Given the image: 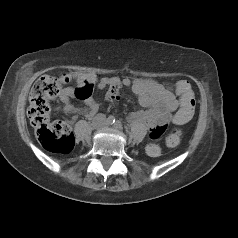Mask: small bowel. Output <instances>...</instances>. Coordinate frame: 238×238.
I'll return each mask as SVG.
<instances>
[{"instance_id": "c3829d8e", "label": "small bowel", "mask_w": 238, "mask_h": 238, "mask_svg": "<svg viewBox=\"0 0 238 238\" xmlns=\"http://www.w3.org/2000/svg\"><path fill=\"white\" fill-rule=\"evenodd\" d=\"M90 81L89 78L84 76H78L79 89H77L79 98L82 99L86 105L90 108V113L87 116L95 114L98 107L90 97L87 83ZM120 85L131 86L132 90L139 96V100L143 106L152 107V109L146 113H137L135 117L144 118L147 120L150 126L161 125L170 120L174 121L172 112L180 108L179 99L166 91L159 85H153L144 80L129 79L120 80L118 78H102L98 82V88L103 89L106 86L116 87ZM70 90H65L62 93L61 100L64 103V110L72 112L74 108L68 103L67 96L70 95ZM175 122V121H174Z\"/></svg>"}]
</instances>
